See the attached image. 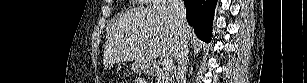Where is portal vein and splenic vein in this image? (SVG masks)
<instances>
[{"label": "portal vein and splenic vein", "mask_w": 307, "mask_h": 83, "mask_svg": "<svg viewBox=\"0 0 307 83\" xmlns=\"http://www.w3.org/2000/svg\"><path fill=\"white\" fill-rule=\"evenodd\" d=\"M162 67L165 71H170L173 69V61L170 59H164L162 63Z\"/></svg>", "instance_id": "1"}]
</instances>
